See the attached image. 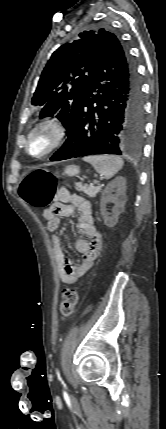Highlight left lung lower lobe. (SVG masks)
<instances>
[{"instance_id":"1","label":"left lung lower lobe","mask_w":166,"mask_h":429,"mask_svg":"<svg viewBox=\"0 0 166 429\" xmlns=\"http://www.w3.org/2000/svg\"><path fill=\"white\" fill-rule=\"evenodd\" d=\"M101 37L68 138L51 161L140 151L144 102L135 65L115 35Z\"/></svg>"}]
</instances>
